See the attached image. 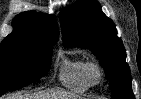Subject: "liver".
Returning a JSON list of instances; mask_svg holds the SVG:
<instances>
[{
	"label": "liver",
	"mask_w": 141,
	"mask_h": 99,
	"mask_svg": "<svg viewBox=\"0 0 141 99\" xmlns=\"http://www.w3.org/2000/svg\"><path fill=\"white\" fill-rule=\"evenodd\" d=\"M6 99H80V97L60 90L46 89L30 96L13 95L8 96Z\"/></svg>",
	"instance_id": "obj_1"
}]
</instances>
